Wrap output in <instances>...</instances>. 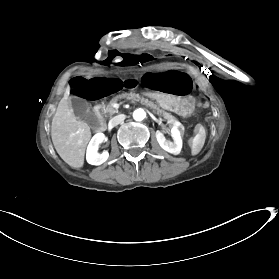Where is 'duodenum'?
<instances>
[{"label": "duodenum", "instance_id": "1", "mask_svg": "<svg viewBox=\"0 0 279 279\" xmlns=\"http://www.w3.org/2000/svg\"><path fill=\"white\" fill-rule=\"evenodd\" d=\"M143 97L158 98V93L143 92ZM93 108H94V112L96 113V115H97V117L99 118V121H100V125L97 128H95V131L98 134H101L103 132V130L106 128V126H107L106 117L104 116V113L100 109V105L98 103H95L93 105Z\"/></svg>", "mask_w": 279, "mask_h": 279}]
</instances>
